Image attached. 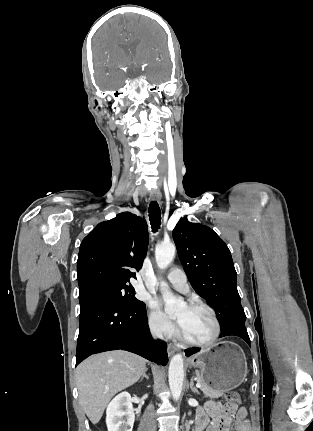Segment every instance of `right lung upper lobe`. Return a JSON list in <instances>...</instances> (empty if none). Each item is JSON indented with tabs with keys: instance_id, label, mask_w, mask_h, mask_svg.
Listing matches in <instances>:
<instances>
[{
	"instance_id": "obj_1",
	"label": "right lung upper lobe",
	"mask_w": 313,
	"mask_h": 431,
	"mask_svg": "<svg viewBox=\"0 0 313 431\" xmlns=\"http://www.w3.org/2000/svg\"><path fill=\"white\" fill-rule=\"evenodd\" d=\"M148 247L144 218L130 212L99 223L82 241L77 261L79 298L136 278Z\"/></svg>"
}]
</instances>
